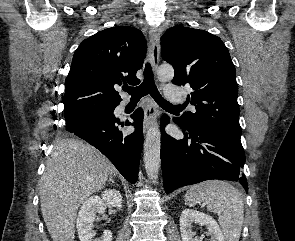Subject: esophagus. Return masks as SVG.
Wrapping results in <instances>:
<instances>
[{
	"mask_svg": "<svg viewBox=\"0 0 295 241\" xmlns=\"http://www.w3.org/2000/svg\"><path fill=\"white\" fill-rule=\"evenodd\" d=\"M149 58L153 70H156L159 64V54H160V34L159 32L152 28L149 31ZM158 114L157 105L153 101H148L145 104L144 122H143V132L146 133L148 128L155 122Z\"/></svg>",
	"mask_w": 295,
	"mask_h": 241,
	"instance_id": "obj_1",
	"label": "esophagus"
}]
</instances>
